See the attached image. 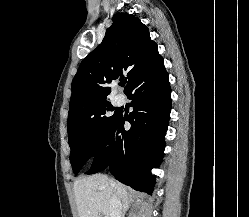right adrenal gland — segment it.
Wrapping results in <instances>:
<instances>
[{"mask_svg": "<svg viewBox=\"0 0 249 217\" xmlns=\"http://www.w3.org/2000/svg\"><path fill=\"white\" fill-rule=\"evenodd\" d=\"M130 203H131V201L128 200V199L123 201L122 217H125V214H126L127 210L130 208Z\"/></svg>", "mask_w": 249, "mask_h": 217, "instance_id": "right-adrenal-gland-1", "label": "right adrenal gland"}]
</instances>
